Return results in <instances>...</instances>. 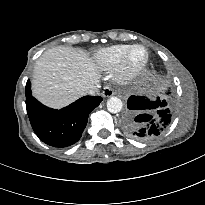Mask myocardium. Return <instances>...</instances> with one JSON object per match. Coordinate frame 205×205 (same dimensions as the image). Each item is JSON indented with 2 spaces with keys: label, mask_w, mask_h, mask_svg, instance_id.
I'll list each match as a JSON object with an SVG mask.
<instances>
[{
  "label": "myocardium",
  "mask_w": 205,
  "mask_h": 205,
  "mask_svg": "<svg viewBox=\"0 0 205 205\" xmlns=\"http://www.w3.org/2000/svg\"><path fill=\"white\" fill-rule=\"evenodd\" d=\"M137 48L145 51V58L138 64L131 62V55ZM150 60V54L146 46L141 44L132 45L123 56L116 69V79L121 83H129L137 79L147 68Z\"/></svg>",
  "instance_id": "obj_1"
}]
</instances>
